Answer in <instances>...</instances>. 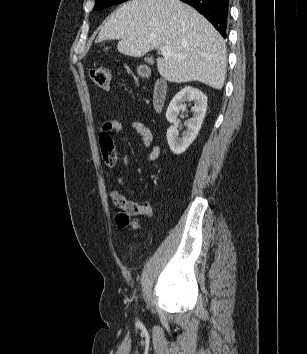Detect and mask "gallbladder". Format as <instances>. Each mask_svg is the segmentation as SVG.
Listing matches in <instances>:
<instances>
[{"label": "gallbladder", "mask_w": 307, "mask_h": 354, "mask_svg": "<svg viewBox=\"0 0 307 354\" xmlns=\"http://www.w3.org/2000/svg\"><path fill=\"white\" fill-rule=\"evenodd\" d=\"M147 62L150 63V64H153L154 63V60L152 58H148L147 59Z\"/></svg>", "instance_id": "1"}]
</instances>
